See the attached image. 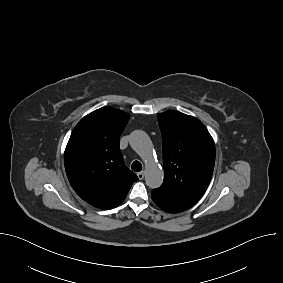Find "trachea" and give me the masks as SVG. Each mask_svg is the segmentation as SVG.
<instances>
[{"label":"trachea","mask_w":283,"mask_h":283,"mask_svg":"<svg viewBox=\"0 0 283 283\" xmlns=\"http://www.w3.org/2000/svg\"><path fill=\"white\" fill-rule=\"evenodd\" d=\"M131 169L134 172H139L142 170V164L139 161H134L131 165Z\"/></svg>","instance_id":"trachea-1"}]
</instances>
